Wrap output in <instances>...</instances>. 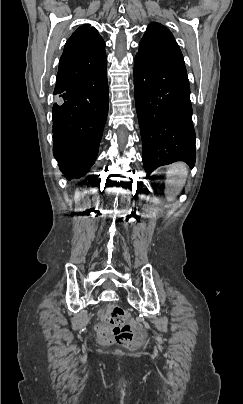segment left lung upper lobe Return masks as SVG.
Instances as JSON below:
<instances>
[{
  "mask_svg": "<svg viewBox=\"0 0 243 404\" xmlns=\"http://www.w3.org/2000/svg\"><path fill=\"white\" fill-rule=\"evenodd\" d=\"M136 56L163 68L186 72L182 53L172 33L156 22L148 26Z\"/></svg>",
  "mask_w": 243,
  "mask_h": 404,
  "instance_id": "left-lung-upper-lobe-1",
  "label": "left lung upper lobe"
}]
</instances>
